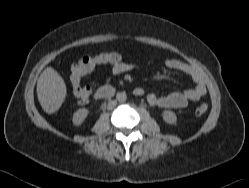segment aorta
<instances>
[{
  "instance_id": "1",
  "label": "aorta",
  "mask_w": 249,
  "mask_h": 188,
  "mask_svg": "<svg viewBox=\"0 0 249 188\" xmlns=\"http://www.w3.org/2000/svg\"><path fill=\"white\" fill-rule=\"evenodd\" d=\"M116 99L119 103H124L127 100V94L125 92H119L116 95Z\"/></svg>"
}]
</instances>
